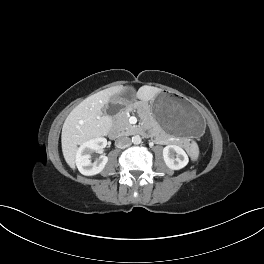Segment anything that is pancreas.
<instances>
[{"mask_svg":"<svg viewBox=\"0 0 264 264\" xmlns=\"http://www.w3.org/2000/svg\"><path fill=\"white\" fill-rule=\"evenodd\" d=\"M128 112L129 110L118 113L114 118V124L123 133L130 134L135 130V126L129 123Z\"/></svg>","mask_w":264,"mask_h":264,"instance_id":"cf45deb5","label":"pancreas"}]
</instances>
